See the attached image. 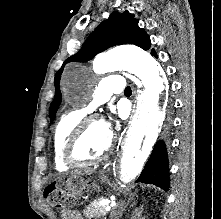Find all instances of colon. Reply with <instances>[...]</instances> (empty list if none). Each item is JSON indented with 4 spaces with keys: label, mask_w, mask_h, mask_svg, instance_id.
<instances>
[{
    "label": "colon",
    "mask_w": 221,
    "mask_h": 219,
    "mask_svg": "<svg viewBox=\"0 0 221 219\" xmlns=\"http://www.w3.org/2000/svg\"><path fill=\"white\" fill-rule=\"evenodd\" d=\"M46 195H51V203L58 208L68 209L71 207L72 195L63 188L61 183L50 184L47 187ZM60 198L64 200H60Z\"/></svg>",
    "instance_id": "colon-1"
}]
</instances>
